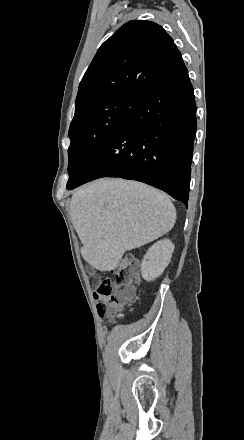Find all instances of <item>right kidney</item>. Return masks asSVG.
Returning a JSON list of instances; mask_svg holds the SVG:
<instances>
[{"instance_id":"ca27d5eb","label":"right kidney","mask_w":244,"mask_h":440,"mask_svg":"<svg viewBox=\"0 0 244 440\" xmlns=\"http://www.w3.org/2000/svg\"><path fill=\"white\" fill-rule=\"evenodd\" d=\"M174 248L170 240H160L149 248L141 264V276L146 282H153L163 274L172 258Z\"/></svg>"}]
</instances>
